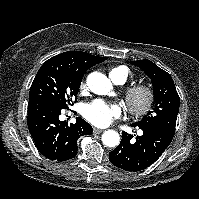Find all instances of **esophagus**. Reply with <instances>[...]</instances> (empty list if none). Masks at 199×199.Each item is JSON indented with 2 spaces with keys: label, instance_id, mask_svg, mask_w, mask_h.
Returning <instances> with one entry per match:
<instances>
[{
  "label": "esophagus",
  "instance_id": "34e87169",
  "mask_svg": "<svg viewBox=\"0 0 199 199\" xmlns=\"http://www.w3.org/2000/svg\"><path fill=\"white\" fill-rule=\"evenodd\" d=\"M104 130L103 129H99V128H93V133L94 134H99L101 132H103Z\"/></svg>",
  "mask_w": 199,
  "mask_h": 199
}]
</instances>
